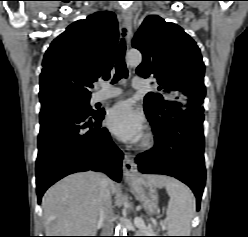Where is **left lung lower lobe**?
I'll return each instance as SVG.
<instances>
[{"label": "left lung lower lobe", "mask_w": 248, "mask_h": 237, "mask_svg": "<svg viewBox=\"0 0 248 237\" xmlns=\"http://www.w3.org/2000/svg\"><path fill=\"white\" fill-rule=\"evenodd\" d=\"M203 120L198 112L175 115L161 130L153 129L155 147L135 158L141 173L165 174L187 184L197 198V209L206 178Z\"/></svg>", "instance_id": "1"}]
</instances>
